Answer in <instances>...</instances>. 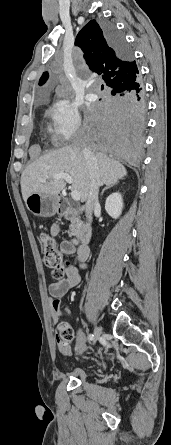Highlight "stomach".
<instances>
[{
  "mask_svg": "<svg viewBox=\"0 0 171 445\" xmlns=\"http://www.w3.org/2000/svg\"><path fill=\"white\" fill-rule=\"evenodd\" d=\"M28 210L36 216L49 217L58 210V197L32 193L25 201Z\"/></svg>",
  "mask_w": 171,
  "mask_h": 445,
  "instance_id": "0dacf381",
  "label": "stomach"
}]
</instances>
